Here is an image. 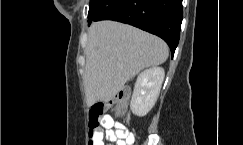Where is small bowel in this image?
<instances>
[{"label":"small bowel","instance_id":"obj_1","mask_svg":"<svg viewBox=\"0 0 243 145\" xmlns=\"http://www.w3.org/2000/svg\"><path fill=\"white\" fill-rule=\"evenodd\" d=\"M101 127L97 128L91 138L92 145H134L135 135L127 130L123 124L115 121L110 115L104 116L100 120Z\"/></svg>","mask_w":243,"mask_h":145}]
</instances>
